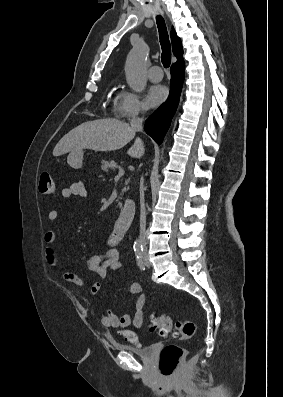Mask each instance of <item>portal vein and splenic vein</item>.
<instances>
[{
	"instance_id": "18ae733b",
	"label": "portal vein and splenic vein",
	"mask_w": 283,
	"mask_h": 397,
	"mask_svg": "<svg viewBox=\"0 0 283 397\" xmlns=\"http://www.w3.org/2000/svg\"><path fill=\"white\" fill-rule=\"evenodd\" d=\"M124 169L120 168L118 175L115 177V180H119L120 177H122L124 175Z\"/></svg>"
}]
</instances>
